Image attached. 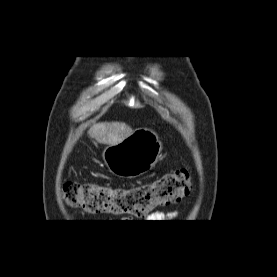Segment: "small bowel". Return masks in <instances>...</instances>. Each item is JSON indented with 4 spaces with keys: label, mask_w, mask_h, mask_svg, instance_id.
Wrapping results in <instances>:
<instances>
[{
    "label": "small bowel",
    "mask_w": 277,
    "mask_h": 277,
    "mask_svg": "<svg viewBox=\"0 0 277 277\" xmlns=\"http://www.w3.org/2000/svg\"><path fill=\"white\" fill-rule=\"evenodd\" d=\"M179 215L178 211L164 212H154L149 216V219L154 220L153 222H167L164 220L175 219Z\"/></svg>",
    "instance_id": "1"
}]
</instances>
